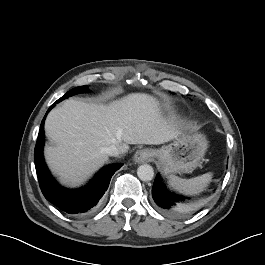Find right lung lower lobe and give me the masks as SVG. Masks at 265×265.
<instances>
[{
    "label": "right lung lower lobe",
    "instance_id": "right-lung-lower-lobe-1",
    "mask_svg": "<svg viewBox=\"0 0 265 265\" xmlns=\"http://www.w3.org/2000/svg\"><path fill=\"white\" fill-rule=\"evenodd\" d=\"M57 103V101L55 102ZM55 106L53 104L47 113ZM46 113V115H47ZM44 116L34 152V161L39 185L45 198L60 210L68 214H84L92 209L107 190L112 175L122 164H111L102 169L93 181L86 187L78 190H70L60 186L51 176L44 158Z\"/></svg>",
    "mask_w": 265,
    "mask_h": 265
}]
</instances>
